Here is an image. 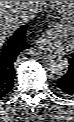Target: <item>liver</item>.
Wrapping results in <instances>:
<instances>
[{"label": "liver", "mask_w": 74, "mask_h": 122, "mask_svg": "<svg viewBox=\"0 0 74 122\" xmlns=\"http://www.w3.org/2000/svg\"><path fill=\"white\" fill-rule=\"evenodd\" d=\"M36 1H0V45L2 46L20 26V15L25 7Z\"/></svg>", "instance_id": "1"}]
</instances>
